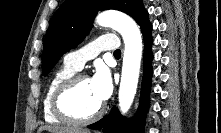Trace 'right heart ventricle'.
Returning <instances> with one entry per match:
<instances>
[{"instance_id":"1","label":"right heart ventricle","mask_w":221,"mask_h":133,"mask_svg":"<svg viewBox=\"0 0 221 133\" xmlns=\"http://www.w3.org/2000/svg\"><path fill=\"white\" fill-rule=\"evenodd\" d=\"M76 71L77 70H75L74 68H72L69 65L64 63L60 68H58L54 72V74L50 78V80L47 84L46 90H45V94H44V98H43V105H42L43 116H44V119L46 122H48L50 124L64 123L63 120L58 118L53 113L52 106H51L52 95H53L55 89L57 88V86L61 82H63L65 79L74 75L76 73Z\"/></svg>"}]
</instances>
